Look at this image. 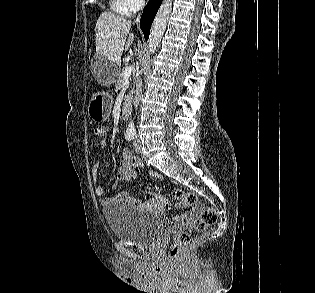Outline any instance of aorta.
Segmentation results:
<instances>
[{
  "label": "aorta",
  "mask_w": 315,
  "mask_h": 293,
  "mask_svg": "<svg viewBox=\"0 0 315 293\" xmlns=\"http://www.w3.org/2000/svg\"><path fill=\"white\" fill-rule=\"evenodd\" d=\"M171 10H172V0H163L150 30L148 46H149V52L152 54L157 50V48L160 45L161 39L166 29L167 21L171 13ZM127 129L128 130L135 129L133 121L129 123Z\"/></svg>",
  "instance_id": "1"
}]
</instances>
